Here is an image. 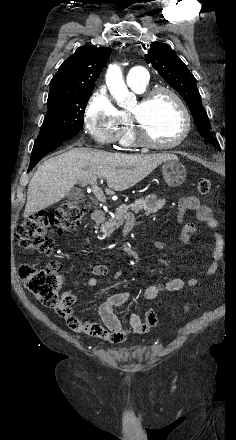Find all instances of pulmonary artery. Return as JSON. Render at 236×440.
Listing matches in <instances>:
<instances>
[{"label":"pulmonary artery","mask_w":236,"mask_h":440,"mask_svg":"<svg viewBox=\"0 0 236 440\" xmlns=\"http://www.w3.org/2000/svg\"><path fill=\"white\" fill-rule=\"evenodd\" d=\"M149 81V73L142 66L132 67L127 74V82L132 85H146Z\"/></svg>","instance_id":"obj_1"}]
</instances>
